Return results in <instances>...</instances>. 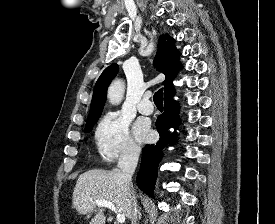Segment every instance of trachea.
Here are the masks:
<instances>
[{"mask_svg":"<svg viewBox=\"0 0 275 224\" xmlns=\"http://www.w3.org/2000/svg\"><path fill=\"white\" fill-rule=\"evenodd\" d=\"M153 100L156 106L163 107V89L158 90L154 94Z\"/></svg>","mask_w":275,"mask_h":224,"instance_id":"obj_1","label":"trachea"}]
</instances>
